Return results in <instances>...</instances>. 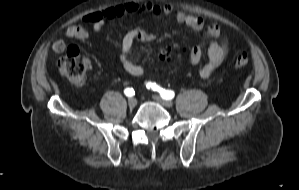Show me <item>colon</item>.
<instances>
[{"mask_svg": "<svg viewBox=\"0 0 299 190\" xmlns=\"http://www.w3.org/2000/svg\"><path fill=\"white\" fill-rule=\"evenodd\" d=\"M177 53L175 46L163 48L158 59L160 61H169ZM249 55L246 50H237L234 56V66L243 68L248 64ZM60 73L65 76L74 86L83 87L87 83L86 57L80 47L76 45L69 46L66 54L59 62Z\"/></svg>", "mask_w": 299, "mask_h": 190, "instance_id": "obj_1", "label": "colon"}]
</instances>
